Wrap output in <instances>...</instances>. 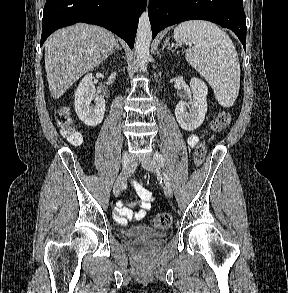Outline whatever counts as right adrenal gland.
<instances>
[{
	"instance_id": "right-adrenal-gland-1",
	"label": "right adrenal gland",
	"mask_w": 288,
	"mask_h": 293,
	"mask_svg": "<svg viewBox=\"0 0 288 293\" xmlns=\"http://www.w3.org/2000/svg\"><path fill=\"white\" fill-rule=\"evenodd\" d=\"M115 49H118V50L121 51V47L119 46V43H118V42H116V47H115Z\"/></svg>"
}]
</instances>
